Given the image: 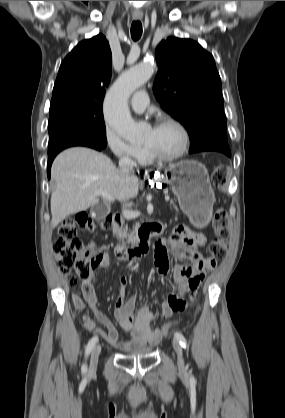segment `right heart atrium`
Listing matches in <instances>:
<instances>
[{"mask_svg":"<svg viewBox=\"0 0 285 418\" xmlns=\"http://www.w3.org/2000/svg\"><path fill=\"white\" fill-rule=\"evenodd\" d=\"M104 143L112 154L121 161H135L144 153L142 147H136L127 142L111 126H107L105 129Z\"/></svg>","mask_w":285,"mask_h":418,"instance_id":"right-heart-atrium-1","label":"right heart atrium"}]
</instances>
